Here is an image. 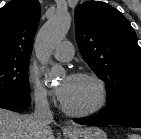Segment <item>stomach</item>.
<instances>
[{"label": "stomach", "instance_id": "1", "mask_svg": "<svg viewBox=\"0 0 141 139\" xmlns=\"http://www.w3.org/2000/svg\"><path fill=\"white\" fill-rule=\"evenodd\" d=\"M69 139H107V135L98 127L79 128L68 132Z\"/></svg>", "mask_w": 141, "mask_h": 139}]
</instances>
